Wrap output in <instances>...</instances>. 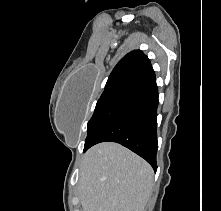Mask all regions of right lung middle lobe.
I'll return each instance as SVG.
<instances>
[{
    "label": "right lung middle lobe",
    "instance_id": "right-lung-middle-lobe-1",
    "mask_svg": "<svg viewBox=\"0 0 221 211\" xmlns=\"http://www.w3.org/2000/svg\"><path fill=\"white\" fill-rule=\"evenodd\" d=\"M136 92L132 89H118L101 95L94 114L88 122L85 145L89 144L101 132Z\"/></svg>",
    "mask_w": 221,
    "mask_h": 211
}]
</instances>
